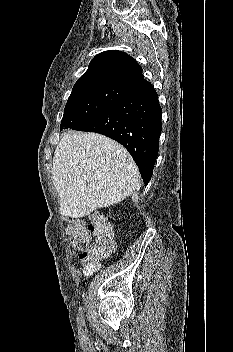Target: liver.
I'll return each mask as SVG.
<instances>
[{"mask_svg":"<svg viewBox=\"0 0 233 352\" xmlns=\"http://www.w3.org/2000/svg\"><path fill=\"white\" fill-rule=\"evenodd\" d=\"M52 181L65 216L81 218L139 190L138 168L128 151L97 133L68 131L59 142Z\"/></svg>","mask_w":233,"mask_h":352,"instance_id":"obj_1","label":"liver"}]
</instances>
